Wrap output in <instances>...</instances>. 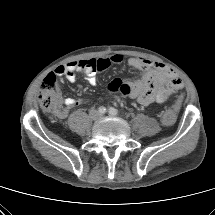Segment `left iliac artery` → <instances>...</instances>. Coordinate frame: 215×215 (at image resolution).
Masks as SVG:
<instances>
[{
  "label": "left iliac artery",
  "instance_id": "1",
  "mask_svg": "<svg viewBox=\"0 0 215 215\" xmlns=\"http://www.w3.org/2000/svg\"><path fill=\"white\" fill-rule=\"evenodd\" d=\"M109 114L113 115V116H116L118 114V110L113 108V107H110L109 108Z\"/></svg>",
  "mask_w": 215,
  "mask_h": 215
}]
</instances>
